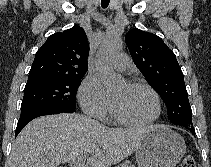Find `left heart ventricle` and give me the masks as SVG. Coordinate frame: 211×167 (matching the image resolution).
Returning a JSON list of instances; mask_svg holds the SVG:
<instances>
[{
    "mask_svg": "<svg viewBox=\"0 0 211 167\" xmlns=\"http://www.w3.org/2000/svg\"><path fill=\"white\" fill-rule=\"evenodd\" d=\"M112 100L118 113L133 121H146L156 113L153 95L144 88L121 85L112 94Z\"/></svg>",
    "mask_w": 211,
    "mask_h": 167,
    "instance_id": "obj_1",
    "label": "left heart ventricle"
}]
</instances>
